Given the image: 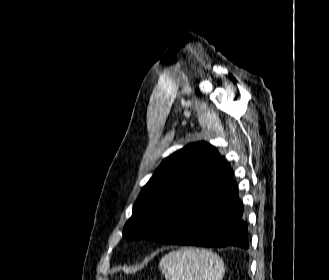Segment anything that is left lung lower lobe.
Wrapping results in <instances>:
<instances>
[{
    "instance_id": "0a47b994",
    "label": "left lung lower lobe",
    "mask_w": 329,
    "mask_h": 280,
    "mask_svg": "<svg viewBox=\"0 0 329 280\" xmlns=\"http://www.w3.org/2000/svg\"><path fill=\"white\" fill-rule=\"evenodd\" d=\"M232 176L229 168L220 186L209 188L186 207L177 222L163 227L161 240L177 245L248 249L247 223Z\"/></svg>"
}]
</instances>
